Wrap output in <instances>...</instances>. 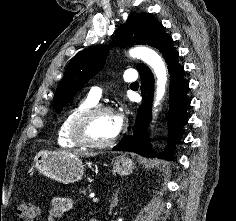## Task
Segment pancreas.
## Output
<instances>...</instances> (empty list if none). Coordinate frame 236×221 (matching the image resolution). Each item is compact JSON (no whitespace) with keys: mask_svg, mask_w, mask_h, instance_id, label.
Returning a JSON list of instances; mask_svg holds the SVG:
<instances>
[{"mask_svg":"<svg viewBox=\"0 0 236 221\" xmlns=\"http://www.w3.org/2000/svg\"><path fill=\"white\" fill-rule=\"evenodd\" d=\"M80 193L85 194L86 193V189L81 190Z\"/></svg>","mask_w":236,"mask_h":221,"instance_id":"pancreas-1","label":"pancreas"}]
</instances>
